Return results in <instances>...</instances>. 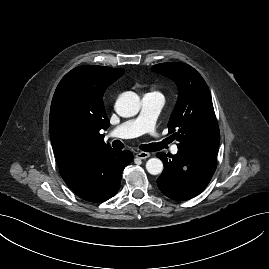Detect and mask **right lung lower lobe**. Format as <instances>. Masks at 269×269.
<instances>
[{
  "instance_id": "right-lung-lower-lobe-1",
  "label": "right lung lower lobe",
  "mask_w": 269,
  "mask_h": 269,
  "mask_svg": "<svg viewBox=\"0 0 269 269\" xmlns=\"http://www.w3.org/2000/svg\"><path fill=\"white\" fill-rule=\"evenodd\" d=\"M132 159L130 151L112 149L60 169V174L78 196L102 202L118 192L122 172Z\"/></svg>"
}]
</instances>
